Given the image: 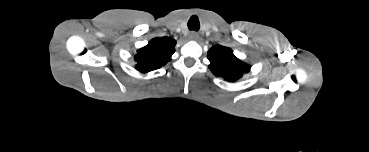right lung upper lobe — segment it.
<instances>
[{"label":"right lung upper lobe","mask_w":369,"mask_h":152,"mask_svg":"<svg viewBox=\"0 0 369 152\" xmlns=\"http://www.w3.org/2000/svg\"><path fill=\"white\" fill-rule=\"evenodd\" d=\"M176 41L169 37H157L139 49L135 55L136 69L142 73L160 68L171 60Z\"/></svg>","instance_id":"cb5924a9"}]
</instances>
